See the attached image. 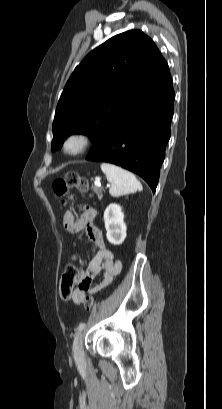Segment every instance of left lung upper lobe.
Segmentation results:
<instances>
[{
	"instance_id": "obj_1",
	"label": "left lung upper lobe",
	"mask_w": 222,
	"mask_h": 409,
	"mask_svg": "<svg viewBox=\"0 0 222 409\" xmlns=\"http://www.w3.org/2000/svg\"><path fill=\"white\" fill-rule=\"evenodd\" d=\"M169 75L167 62L143 32L110 38L83 59L66 83L52 126V150L74 132L95 142L125 105Z\"/></svg>"
}]
</instances>
